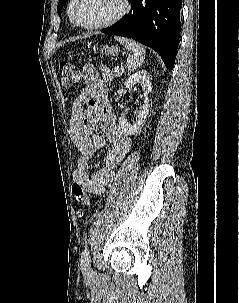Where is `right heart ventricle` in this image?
<instances>
[{
	"label": "right heart ventricle",
	"mask_w": 239,
	"mask_h": 303,
	"mask_svg": "<svg viewBox=\"0 0 239 303\" xmlns=\"http://www.w3.org/2000/svg\"><path fill=\"white\" fill-rule=\"evenodd\" d=\"M71 4H72V0L70 1L69 6H68L69 17H70V21L72 22L71 15H70V7H71Z\"/></svg>",
	"instance_id": "right-heart-ventricle-1"
}]
</instances>
